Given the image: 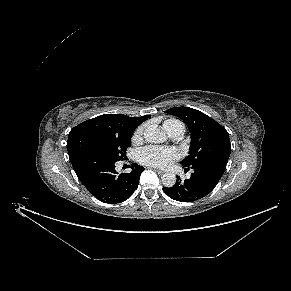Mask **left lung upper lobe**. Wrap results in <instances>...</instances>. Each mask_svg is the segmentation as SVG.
<instances>
[{
  "label": "left lung upper lobe",
  "instance_id": "obj_1",
  "mask_svg": "<svg viewBox=\"0 0 291 291\" xmlns=\"http://www.w3.org/2000/svg\"><path fill=\"white\" fill-rule=\"evenodd\" d=\"M168 114L181 118L191 133L189 155L181 161L185 167L201 162L227 163L231 145L226 129L208 115L189 107H174Z\"/></svg>",
  "mask_w": 291,
  "mask_h": 291
}]
</instances>
